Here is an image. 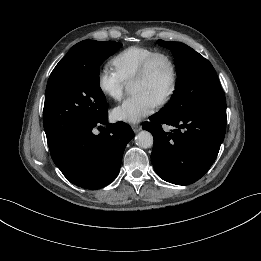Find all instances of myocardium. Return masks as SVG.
<instances>
[{
  "label": "myocardium",
  "instance_id": "obj_1",
  "mask_svg": "<svg viewBox=\"0 0 261 261\" xmlns=\"http://www.w3.org/2000/svg\"><path fill=\"white\" fill-rule=\"evenodd\" d=\"M160 58H164L169 63L170 68H171V83H170L169 89L167 90L165 95L157 102L158 106H164L172 99L173 95L175 94L177 84H178V78H179L176 62L169 53L163 52V51H158V52L154 53L153 55H151L143 63L140 70L134 77L133 81L146 79L149 76L154 63Z\"/></svg>",
  "mask_w": 261,
  "mask_h": 261
}]
</instances>
